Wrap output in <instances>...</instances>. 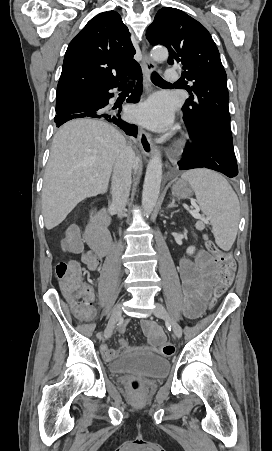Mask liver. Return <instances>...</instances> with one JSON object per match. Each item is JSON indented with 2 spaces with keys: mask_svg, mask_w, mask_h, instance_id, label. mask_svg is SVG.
Wrapping results in <instances>:
<instances>
[{
  "mask_svg": "<svg viewBox=\"0 0 272 451\" xmlns=\"http://www.w3.org/2000/svg\"><path fill=\"white\" fill-rule=\"evenodd\" d=\"M125 146L124 136L102 120L80 118L59 128L53 138L42 190L47 229L61 224L85 198L108 190L113 166Z\"/></svg>",
  "mask_w": 272,
  "mask_h": 451,
  "instance_id": "obj_1",
  "label": "liver"
}]
</instances>
